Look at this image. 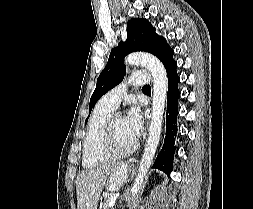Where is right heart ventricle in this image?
I'll list each match as a JSON object with an SVG mask.
<instances>
[{"instance_id":"1","label":"right heart ventricle","mask_w":253,"mask_h":209,"mask_svg":"<svg viewBox=\"0 0 253 209\" xmlns=\"http://www.w3.org/2000/svg\"><path fill=\"white\" fill-rule=\"evenodd\" d=\"M114 112V108L102 100L95 106L83 139L82 164L85 168H95L110 160L101 151V139L104 126Z\"/></svg>"}]
</instances>
